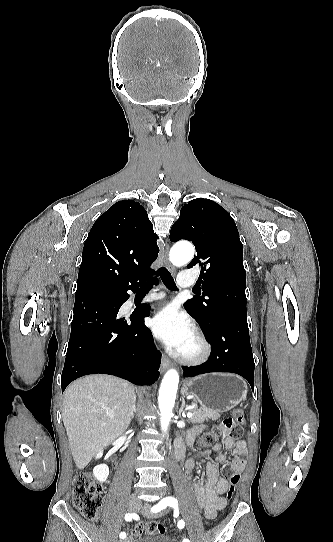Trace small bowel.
Instances as JSON below:
<instances>
[{
  "label": "small bowel",
  "mask_w": 333,
  "mask_h": 542,
  "mask_svg": "<svg viewBox=\"0 0 333 542\" xmlns=\"http://www.w3.org/2000/svg\"><path fill=\"white\" fill-rule=\"evenodd\" d=\"M204 430V427L197 426L193 428L190 434L194 439ZM232 450L234 459L244 458L247 451V444L244 440L225 439L224 443H217L211 450L200 451L194 457L188 459L185 463V477L190 478L195 467L197 458L208 457L211 452L216 453V459L206 462L207 480L205 483L195 481L194 494L197 505L203 509L207 519H214L217 512L224 508L226 500L224 493L228 490L231 482L220 477L219 466L226 463V455L223 448ZM234 460V462H235ZM142 533L141 527L136 525L129 533L127 542H136Z\"/></svg>",
  "instance_id": "1"
}]
</instances>
